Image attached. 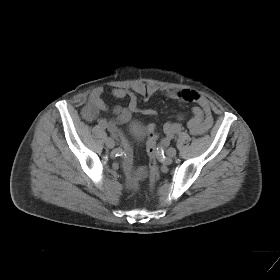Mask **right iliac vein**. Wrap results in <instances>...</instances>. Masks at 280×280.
Here are the masks:
<instances>
[{
    "mask_svg": "<svg viewBox=\"0 0 280 280\" xmlns=\"http://www.w3.org/2000/svg\"><path fill=\"white\" fill-rule=\"evenodd\" d=\"M105 144L109 149H112L115 146V141L112 138H107Z\"/></svg>",
    "mask_w": 280,
    "mask_h": 280,
    "instance_id": "obj_1",
    "label": "right iliac vein"
}]
</instances>
